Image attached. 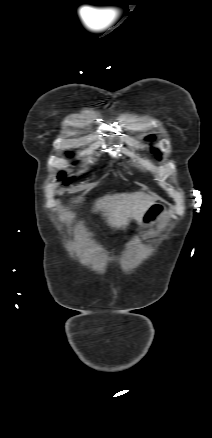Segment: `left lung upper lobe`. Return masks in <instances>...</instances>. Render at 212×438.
Segmentation results:
<instances>
[{"label":"left lung upper lobe","instance_id":"5c2ea615","mask_svg":"<svg viewBox=\"0 0 212 438\" xmlns=\"http://www.w3.org/2000/svg\"><path fill=\"white\" fill-rule=\"evenodd\" d=\"M147 139H149V140H153L154 139V137L153 136H149V137H147ZM154 150V149H153ZM156 152V151H155Z\"/></svg>","mask_w":212,"mask_h":438}]
</instances>
